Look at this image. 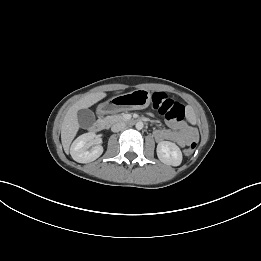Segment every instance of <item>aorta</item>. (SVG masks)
<instances>
[{"label":"aorta","instance_id":"1","mask_svg":"<svg viewBox=\"0 0 261 261\" xmlns=\"http://www.w3.org/2000/svg\"><path fill=\"white\" fill-rule=\"evenodd\" d=\"M143 126H144V124L141 121L136 123V129H138V130H141L143 128Z\"/></svg>","mask_w":261,"mask_h":261}]
</instances>
